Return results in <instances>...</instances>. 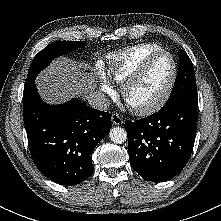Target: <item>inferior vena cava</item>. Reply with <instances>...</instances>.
<instances>
[{"mask_svg": "<svg viewBox=\"0 0 221 221\" xmlns=\"http://www.w3.org/2000/svg\"><path fill=\"white\" fill-rule=\"evenodd\" d=\"M88 104L98 110L106 111L109 107V100L101 92H94L87 96Z\"/></svg>", "mask_w": 221, "mask_h": 221, "instance_id": "1", "label": "inferior vena cava"}]
</instances>
